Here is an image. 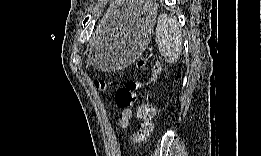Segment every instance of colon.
Listing matches in <instances>:
<instances>
[{
  "label": "colon",
  "instance_id": "obj_1",
  "mask_svg": "<svg viewBox=\"0 0 261 156\" xmlns=\"http://www.w3.org/2000/svg\"><path fill=\"white\" fill-rule=\"evenodd\" d=\"M144 65V62L139 63L140 68ZM160 71V64L153 63L149 68L147 81L130 80L123 87L117 89L115 93V102L119 108H136L139 124L137 131L129 139L130 143L142 144L152 133L154 110L149 104L138 103V91L148 83L155 81ZM95 87L100 91H105L110 87V84L104 80H97L95 81Z\"/></svg>",
  "mask_w": 261,
  "mask_h": 156
}]
</instances>
